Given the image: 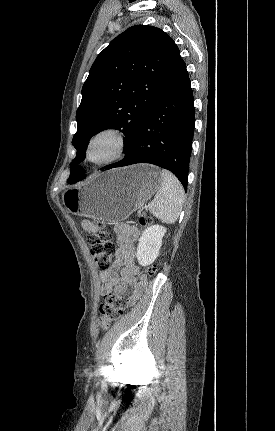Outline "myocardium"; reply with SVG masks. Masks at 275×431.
I'll use <instances>...</instances> for the list:
<instances>
[{
	"instance_id": "myocardium-1",
	"label": "myocardium",
	"mask_w": 275,
	"mask_h": 431,
	"mask_svg": "<svg viewBox=\"0 0 275 431\" xmlns=\"http://www.w3.org/2000/svg\"><path fill=\"white\" fill-rule=\"evenodd\" d=\"M102 138H110L113 141V149L106 157L95 160L91 157V150L95 143ZM127 141L125 134L117 127L106 126L95 131L85 145V160L95 166H105L121 160L126 152Z\"/></svg>"
}]
</instances>
